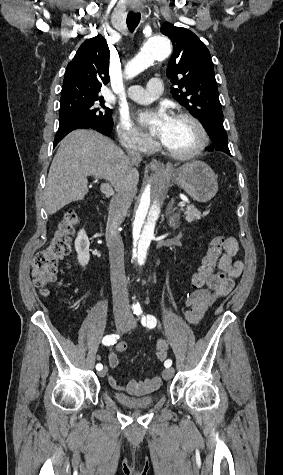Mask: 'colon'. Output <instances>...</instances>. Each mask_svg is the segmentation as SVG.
Here are the masks:
<instances>
[{
    "label": "colon",
    "instance_id": "1",
    "mask_svg": "<svg viewBox=\"0 0 283 475\" xmlns=\"http://www.w3.org/2000/svg\"><path fill=\"white\" fill-rule=\"evenodd\" d=\"M78 221V214L75 210H66L49 244L40 248L34 254L32 260L33 281L43 294H47L48 286L56 281L58 262L71 252L72 237ZM224 245L225 235L223 232L217 231L194 274L192 279L193 290H200L201 283L212 279L214 268L219 262ZM167 348V339L161 338L156 342L155 356L157 362H164Z\"/></svg>",
    "mask_w": 283,
    "mask_h": 475
}]
</instances>
